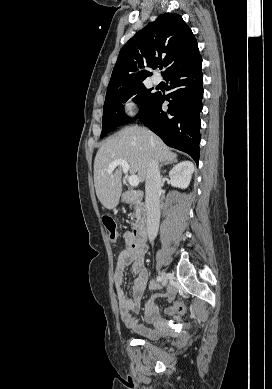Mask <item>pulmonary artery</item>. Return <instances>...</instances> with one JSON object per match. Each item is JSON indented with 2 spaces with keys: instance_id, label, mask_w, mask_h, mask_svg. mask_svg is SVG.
Instances as JSON below:
<instances>
[{
  "instance_id": "1",
  "label": "pulmonary artery",
  "mask_w": 272,
  "mask_h": 389,
  "mask_svg": "<svg viewBox=\"0 0 272 389\" xmlns=\"http://www.w3.org/2000/svg\"><path fill=\"white\" fill-rule=\"evenodd\" d=\"M152 81H153V83H154L155 85H157V84H159V83L161 82V77L158 76V75H154V76L152 77Z\"/></svg>"
}]
</instances>
